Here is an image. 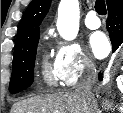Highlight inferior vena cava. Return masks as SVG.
<instances>
[{"label": "inferior vena cava", "mask_w": 123, "mask_h": 113, "mask_svg": "<svg viewBox=\"0 0 123 113\" xmlns=\"http://www.w3.org/2000/svg\"><path fill=\"white\" fill-rule=\"evenodd\" d=\"M96 79V68L92 62H88L85 66L83 74L80 76L79 82L76 86L75 92L82 97V99L90 104L92 111L89 113H97V103L92 93V87Z\"/></svg>", "instance_id": "obj_1"}]
</instances>
